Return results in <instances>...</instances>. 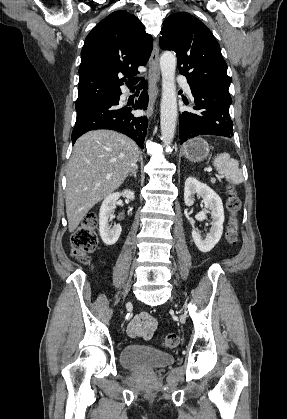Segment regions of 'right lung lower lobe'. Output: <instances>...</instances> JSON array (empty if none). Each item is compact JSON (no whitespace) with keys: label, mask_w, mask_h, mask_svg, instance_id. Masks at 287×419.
Returning a JSON list of instances; mask_svg holds the SVG:
<instances>
[{"label":"right lung lower lobe","mask_w":287,"mask_h":419,"mask_svg":"<svg viewBox=\"0 0 287 419\" xmlns=\"http://www.w3.org/2000/svg\"><path fill=\"white\" fill-rule=\"evenodd\" d=\"M141 88L143 91L132 107L120 105V94L77 117L72 132L73 144L77 138L88 131L110 129L129 136L143 149L148 127L147 117H135L131 114L133 109H147L148 95L145 81L142 82ZM130 89L133 90L132 87Z\"/></svg>","instance_id":"obj_1"}]
</instances>
